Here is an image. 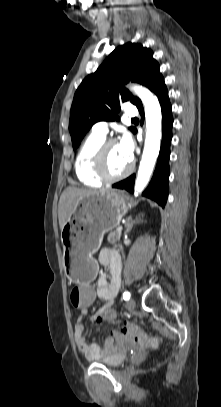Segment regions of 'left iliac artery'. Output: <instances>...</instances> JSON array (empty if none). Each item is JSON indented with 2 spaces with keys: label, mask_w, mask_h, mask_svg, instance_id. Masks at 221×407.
<instances>
[{
  "label": "left iliac artery",
  "mask_w": 221,
  "mask_h": 407,
  "mask_svg": "<svg viewBox=\"0 0 221 407\" xmlns=\"http://www.w3.org/2000/svg\"><path fill=\"white\" fill-rule=\"evenodd\" d=\"M130 297H131V294H130L129 291H125V292L123 293V299H124V300H129Z\"/></svg>",
  "instance_id": "left-iliac-artery-1"
}]
</instances>
